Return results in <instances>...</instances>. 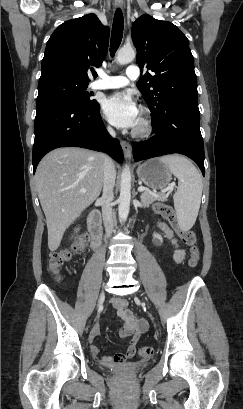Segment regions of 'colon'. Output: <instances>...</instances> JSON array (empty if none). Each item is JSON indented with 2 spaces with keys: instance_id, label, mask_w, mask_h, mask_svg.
Wrapping results in <instances>:
<instances>
[{
  "instance_id": "obj_1",
  "label": "colon",
  "mask_w": 243,
  "mask_h": 409,
  "mask_svg": "<svg viewBox=\"0 0 243 409\" xmlns=\"http://www.w3.org/2000/svg\"><path fill=\"white\" fill-rule=\"evenodd\" d=\"M154 212L161 215L164 219L168 220L169 223L176 229L182 242L190 248L191 259L190 266H196L199 260V249L196 245V234L192 230H181L178 226L176 213L172 206L156 203L153 206ZM88 237L82 235L78 237L76 242L71 248H62L50 255L48 262V269L57 277L60 278L59 270L60 268L71 260L73 255L83 252L87 245ZM139 354L143 359H149L153 355V349L151 347H141L139 349Z\"/></svg>"
}]
</instances>
